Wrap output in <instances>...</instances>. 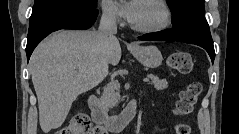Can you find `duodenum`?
Masks as SVG:
<instances>
[{
    "mask_svg": "<svg viewBox=\"0 0 239 134\" xmlns=\"http://www.w3.org/2000/svg\"><path fill=\"white\" fill-rule=\"evenodd\" d=\"M87 104L94 123L114 133L120 132L130 124L136 117L139 107L138 101L133 99L120 114L109 115L95 95L88 97Z\"/></svg>",
    "mask_w": 239,
    "mask_h": 134,
    "instance_id": "410a0bca",
    "label": "duodenum"
}]
</instances>
